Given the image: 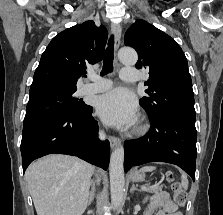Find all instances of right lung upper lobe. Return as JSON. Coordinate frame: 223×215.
Segmentation results:
<instances>
[{"instance_id":"1","label":"right lung upper lobe","mask_w":223,"mask_h":215,"mask_svg":"<svg viewBox=\"0 0 223 215\" xmlns=\"http://www.w3.org/2000/svg\"><path fill=\"white\" fill-rule=\"evenodd\" d=\"M106 40V28L92 20L60 32L42 54L30 92L76 90L86 67L102 60Z\"/></svg>"}]
</instances>
